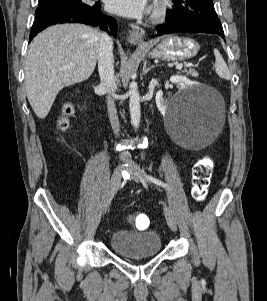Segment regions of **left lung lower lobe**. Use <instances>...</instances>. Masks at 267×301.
<instances>
[{
    "instance_id": "1",
    "label": "left lung lower lobe",
    "mask_w": 267,
    "mask_h": 301,
    "mask_svg": "<svg viewBox=\"0 0 267 301\" xmlns=\"http://www.w3.org/2000/svg\"><path fill=\"white\" fill-rule=\"evenodd\" d=\"M156 29L157 33L154 35L156 37L172 33H208L217 34L222 38H225L223 30L215 29L209 25L200 22H169L167 24L158 26Z\"/></svg>"
}]
</instances>
